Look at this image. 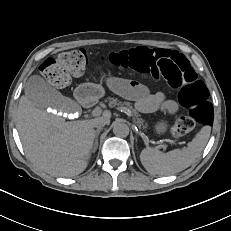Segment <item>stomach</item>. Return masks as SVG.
Wrapping results in <instances>:
<instances>
[{
	"instance_id": "0dacf381",
	"label": "stomach",
	"mask_w": 231,
	"mask_h": 231,
	"mask_svg": "<svg viewBox=\"0 0 231 231\" xmlns=\"http://www.w3.org/2000/svg\"><path fill=\"white\" fill-rule=\"evenodd\" d=\"M103 95V87L94 83H84L78 86L75 91L76 98L82 103L97 100ZM167 127L164 121H159L155 124L154 129L157 134L161 135L166 132Z\"/></svg>"
}]
</instances>
